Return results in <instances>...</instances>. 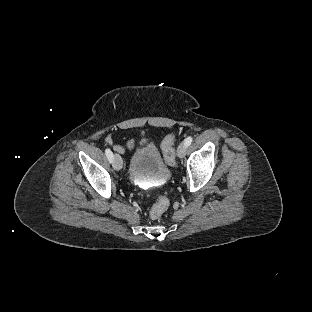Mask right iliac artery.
Here are the masks:
<instances>
[{
    "label": "right iliac artery",
    "mask_w": 312,
    "mask_h": 312,
    "mask_svg": "<svg viewBox=\"0 0 312 312\" xmlns=\"http://www.w3.org/2000/svg\"><path fill=\"white\" fill-rule=\"evenodd\" d=\"M105 154L110 162H113V153L110 149L106 148Z\"/></svg>",
    "instance_id": "82829eb1"
}]
</instances>
